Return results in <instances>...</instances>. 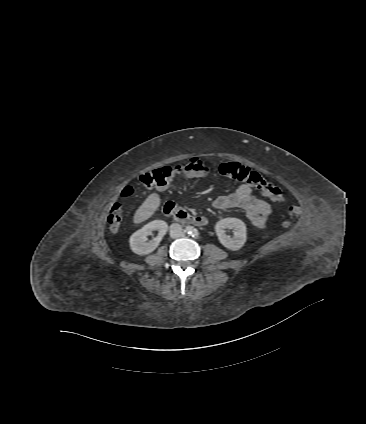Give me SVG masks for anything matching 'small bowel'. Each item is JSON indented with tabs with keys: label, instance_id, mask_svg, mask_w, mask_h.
Segmentation results:
<instances>
[{
	"label": "small bowel",
	"instance_id": "c3829d8e",
	"mask_svg": "<svg viewBox=\"0 0 366 424\" xmlns=\"http://www.w3.org/2000/svg\"><path fill=\"white\" fill-rule=\"evenodd\" d=\"M217 209L239 208L258 229L265 228L271 208L268 202L256 197L249 184L240 185L234 192L218 196L213 203Z\"/></svg>",
	"mask_w": 366,
	"mask_h": 424
}]
</instances>
